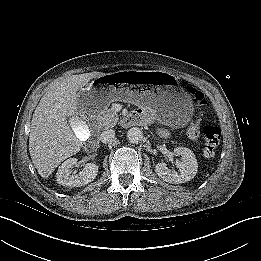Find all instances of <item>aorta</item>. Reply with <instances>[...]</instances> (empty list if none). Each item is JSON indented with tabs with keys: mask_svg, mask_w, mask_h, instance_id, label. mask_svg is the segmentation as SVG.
Listing matches in <instances>:
<instances>
[{
	"mask_svg": "<svg viewBox=\"0 0 261 261\" xmlns=\"http://www.w3.org/2000/svg\"><path fill=\"white\" fill-rule=\"evenodd\" d=\"M127 139L131 143H138L143 139L142 130L138 127H132L127 132Z\"/></svg>",
	"mask_w": 261,
	"mask_h": 261,
	"instance_id": "762f6f07",
	"label": "aorta"
}]
</instances>
